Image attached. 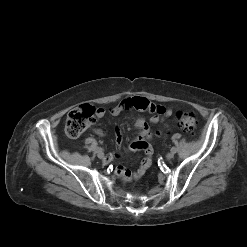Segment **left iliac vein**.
<instances>
[{"label": "left iliac vein", "instance_id": "obj_1", "mask_svg": "<svg viewBox=\"0 0 247 247\" xmlns=\"http://www.w3.org/2000/svg\"><path fill=\"white\" fill-rule=\"evenodd\" d=\"M167 159H172L173 157H174V153L173 152H169L168 154H167Z\"/></svg>", "mask_w": 247, "mask_h": 247}]
</instances>
